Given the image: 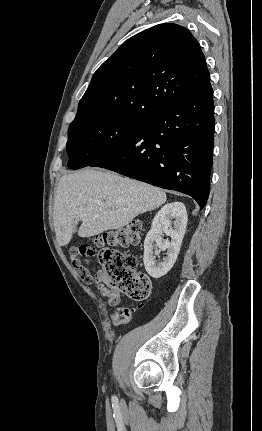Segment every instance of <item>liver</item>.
<instances>
[{
    "mask_svg": "<svg viewBox=\"0 0 262 431\" xmlns=\"http://www.w3.org/2000/svg\"><path fill=\"white\" fill-rule=\"evenodd\" d=\"M166 199L163 190L110 171L86 168L63 175L54 202L57 241L60 246L70 242L75 219L82 221L78 235L91 237L126 226Z\"/></svg>",
    "mask_w": 262,
    "mask_h": 431,
    "instance_id": "liver-1",
    "label": "liver"
}]
</instances>
